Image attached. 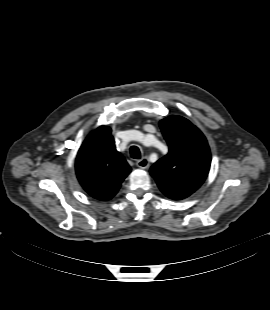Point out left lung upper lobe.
<instances>
[{"label":"left lung upper lobe","instance_id":"obj_1","mask_svg":"<svg viewBox=\"0 0 270 310\" xmlns=\"http://www.w3.org/2000/svg\"><path fill=\"white\" fill-rule=\"evenodd\" d=\"M169 152L150 169L159 188L196 191L205 181L211 163L205 136L184 117L173 115L160 121Z\"/></svg>","mask_w":270,"mask_h":310}]
</instances>
